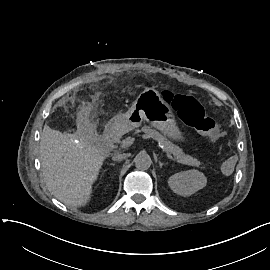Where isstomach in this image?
<instances>
[{"mask_svg":"<svg viewBox=\"0 0 270 270\" xmlns=\"http://www.w3.org/2000/svg\"><path fill=\"white\" fill-rule=\"evenodd\" d=\"M120 120L121 128L126 130L139 127L143 121H146L169 138L183 140L173 112L152 87L145 88L138 95Z\"/></svg>","mask_w":270,"mask_h":270,"instance_id":"1","label":"stomach"}]
</instances>
